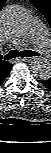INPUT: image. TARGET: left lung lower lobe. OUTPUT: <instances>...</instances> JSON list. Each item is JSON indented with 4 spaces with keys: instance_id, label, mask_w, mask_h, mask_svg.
<instances>
[{
    "instance_id": "0a47b994",
    "label": "left lung lower lobe",
    "mask_w": 51,
    "mask_h": 153,
    "mask_svg": "<svg viewBox=\"0 0 51 153\" xmlns=\"http://www.w3.org/2000/svg\"><path fill=\"white\" fill-rule=\"evenodd\" d=\"M41 83L48 89L51 90V78L47 79V80H41Z\"/></svg>"
}]
</instances>
